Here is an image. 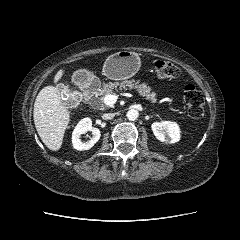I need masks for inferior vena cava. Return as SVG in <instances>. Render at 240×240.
Here are the masks:
<instances>
[{
    "label": "inferior vena cava",
    "instance_id": "inferior-vena-cava-1",
    "mask_svg": "<svg viewBox=\"0 0 240 240\" xmlns=\"http://www.w3.org/2000/svg\"><path fill=\"white\" fill-rule=\"evenodd\" d=\"M114 116H115L114 113H105V114L102 115V118L104 120H109V119H112Z\"/></svg>",
    "mask_w": 240,
    "mask_h": 240
}]
</instances>
